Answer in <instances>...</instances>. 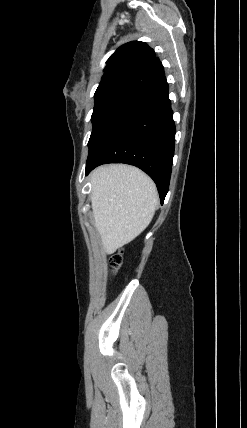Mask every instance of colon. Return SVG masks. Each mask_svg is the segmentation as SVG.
Wrapping results in <instances>:
<instances>
[{
    "mask_svg": "<svg viewBox=\"0 0 247 428\" xmlns=\"http://www.w3.org/2000/svg\"><path fill=\"white\" fill-rule=\"evenodd\" d=\"M110 264L113 270V273H115L121 266L122 264V255L121 254H115L114 256H112L111 260H110Z\"/></svg>",
    "mask_w": 247,
    "mask_h": 428,
    "instance_id": "colon-1",
    "label": "colon"
}]
</instances>
